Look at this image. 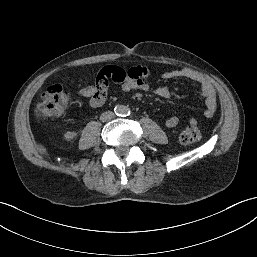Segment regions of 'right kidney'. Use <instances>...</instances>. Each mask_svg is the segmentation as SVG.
<instances>
[{
    "instance_id": "obj_1",
    "label": "right kidney",
    "mask_w": 257,
    "mask_h": 257,
    "mask_svg": "<svg viewBox=\"0 0 257 257\" xmlns=\"http://www.w3.org/2000/svg\"><path fill=\"white\" fill-rule=\"evenodd\" d=\"M75 135H76V132H74V131H67V132L64 134V137H65V139H67V140H71V139H73V138L75 137Z\"/></svg>"
}]
</instances>
